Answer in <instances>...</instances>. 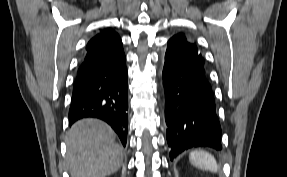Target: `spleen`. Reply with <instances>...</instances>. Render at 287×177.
<instances>
[{
	"label": "spleen",
	"mask_w": 287,
	"mask_h": 177,
	"mask_svg": "<svg viewBox=\"0 0 287 177\" xmlns=\"http://www.w3.org/2000/svg\"><path fill=\"white\" fill-rule=\"evenodd\" d=\"M189 160L194 167L201 170L217 172L219 169L215 158L203 150L192 151L189 155Z\"/></svg>",
	"instance_id": "obj_1"
}]
</instances>
